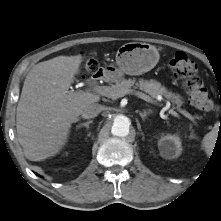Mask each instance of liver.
Instances as JSON below:
<instances>
[{"label": "liver", "instance_id": "obj_1", "mask_svg": "<svg viewBox=\"0 0 221 221\" xmlns=\"http://www.w3.org/2000/svg\"><path fill=\"white\" fill-rule=\"evenodd\" d=\"M81 62V55L58 56L28 72L16 112L18 141L27 159L55 156L83 108L100 100L93 93L69 90Z\"/></svg>", "mask_w": 221, "mask_h": 221}]
</instances>
